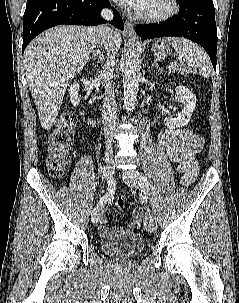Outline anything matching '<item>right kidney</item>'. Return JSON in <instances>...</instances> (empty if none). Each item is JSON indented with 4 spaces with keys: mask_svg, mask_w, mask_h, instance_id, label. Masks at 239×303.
I'll list each match as a JSON object with an SVG mask.
<instances>
[{
    "mask_svg": "<svg viewBox=\"0 0 239 303\" xmlns=\"http://www.w3.org/2000/svg\"><path fill=\"white\" fill-rule=\"evenodd\" d=\"M79 84L74 82L70 85L69 88V94H70V101L73 104V106H77L81 101V96L79 95ZM80 115H83V113H80Z\"/></svg>",
    "mask_w": 239,
    "mask_h": 303,
    "instance_id": "right-kidney-1",
    "label": "right kidney"
}]
</instances>
